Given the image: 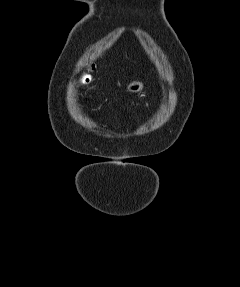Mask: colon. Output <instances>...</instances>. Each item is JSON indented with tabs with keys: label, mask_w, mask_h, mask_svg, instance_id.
<instances>
[{
	"label": "colon",
	"mask_w": 240,
	"mask_h": 287,
	"mask_svg": "<svg viewBox=\"0 0 240 287\" xmlns=\"http://www.w3.org/2000/svg\"><path fill=\"white\" fill-rule=\"evenodd\" d=\"M93 68H94L93 65H89L87 70H88V71H91V70H93ZM90 79H91V78H90V76L88 75V73H84V74L81 75V77H80V83H81V84H87V83L90 82ZM79 100H80L79 94L74 93V94L72 95V98H71L72 103L75 104V105H79Z\"/></svg>",
	"instance_id": "5ec220e1"
}]
</instances>
